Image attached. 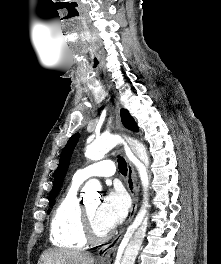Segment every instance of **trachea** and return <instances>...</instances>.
<instances>
[{
  "label": "trachea",
  "instance_id": "1",
  "mask_svg": "<svg viewBox=\"0 0 221 264\" xmlns=\"http://www.w3.org/2000/svg\"><path fill=\"white\" fill-rule=\"evenodd\" d=\"M118 167H119L120 173L126 176L127 175V164H126L125 159L121 156H118Z\"/></svg>",
  "mask_w": 221,
  "mask_h": 264
}]
</instances>
